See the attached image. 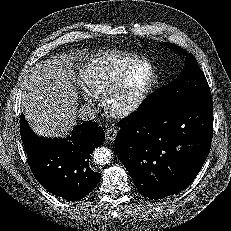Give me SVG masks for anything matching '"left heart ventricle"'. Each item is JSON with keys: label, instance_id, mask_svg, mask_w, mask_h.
<instances>
[{"label": "left heart ventricle", "instance_id": "obj_1", "mask_svg": "<svg viewBox=\"0 0 231 231\" xmlns=\"http://www.w3.org/2000/svg\"><path fill=\"white\" fill-rule=\"evenodd\" d=\"M150 69L144 65L132 73L126 82L122 92L116 99L117 103H125L133 99L148 83L150 79Z\"/></svg>", "mask_w": 231, "mask_h": 231}]
</instances>
